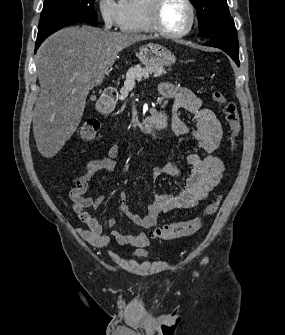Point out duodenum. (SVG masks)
<instances>
[{
  "label": "duodenum",
  "instance_id": "1",
  "mask_svg": "<svg viewBox=\"0 0 285 335\" xmlns=\"http://www.w3.org/2000/svg\"><path fill=\"white\" fill-rule=\"evenodd\" d=\"M118 92L114 88L107 89L99 101V110L108 112L116 101ZM169 119V115L164 110H152L141 123L140 129L146 131L152 127H161Z\"/></svg>",
  "mask_w": 285,
  "mask_h": 335
}]
</instances>
